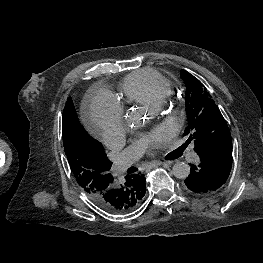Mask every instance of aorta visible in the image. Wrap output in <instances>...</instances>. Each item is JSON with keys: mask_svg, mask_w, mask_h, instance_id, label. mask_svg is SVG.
<instances>
[{"mask_svg": "<svg viewBox=\"0 0 263 263\" xmlns=\"http://www.w3.org/2000/svg\"><path fill=\"white\" fill-rule=\"evenodd\" d=\"M127 122L130 125H135L138 121L131 113L126 116ZM190 166L185 162H176L172 168V174L178 179H185L189 176Z\"/></svg>", "mask_w": 263, "mask_h": 263, "instance_id": "762f6f07", "label": "aorta"}]
</instances>
